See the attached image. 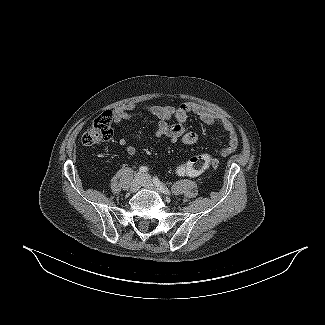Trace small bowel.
Segmentation results:
<instances>
[{"instance_id": "1", "label": "small bowel", "mask_w": 325, "mask_h": 325, "mask_svg": "<svg viewBox=\"0 0 325 325\" xmlns=\"http://www.w3.org/2000/svg\"><path fill=\"white\" fill-rule=\"evenodd\" d=\"M134 109L135 105L133 104L124 105L115 109L113 112L114 122L118 124L124 120H130L142 115L141 113L135 112ZM143 109L145 112L152 114L158 120V126L156 129L157 137L167 138L173 143L181 142L185 145L196 144L199 140L197 133L188 131L185 127V122L189 115H196L208 125L219 124L228 134V145L221 149L222 154H230L238 146V136L234 126L207 107L194 103H183L178 106L144 105ZM171 120L174 121L173 124H170ZM118 144L129 155H135L137 152L136 148L129 144L124 138L119 139ZM189 160L184 164L187 165ZM211 165L216 166V161L212 159Z\"/></svg>"}]
</instances>
